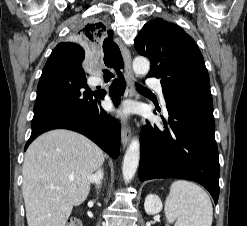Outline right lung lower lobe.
I'll return each instance as SVG.
<instances>
[{
	"label": "right lung lower lobe",
	"instance_id": "right-lung-lower-lobe-1",
	"mask_svg": "<svg viewBox=\"0 0 247 226\" xmlns=\"http://www.w3.org/2000/svg\"><path fill=\"white\" fill-rule=\"evenodd\" d=\"M85 52L73 42L59 43L48 58L37 88L32 133L28 145L40 134L53 129L79 132L112 158L120 152V125L100 106L104 97L90 90L81 67ZM118 79L110 87V95L119 99L125 90V80Z\"/></svg>",
	"mask_w": 247,
	"mask_h": 226
}]
</instances>
